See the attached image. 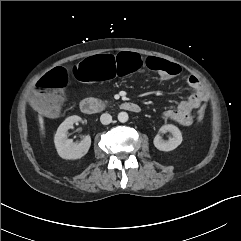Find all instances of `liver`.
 <instances>
[{
    "label": "liver",
    "instance_id": "1",
    "mask_svg": "<svg viewBox=\"0 0 241 241\" xmlns=\"http://www.w3.org/2000/svg\"><path fill=\"white\" fill-rule=\"evenodd\" d=\"M38 121H39V126H40L41 133H42V135H44L45 134V131H44V120H43L42 116L38 117Z\"/></svg>",
    "mask_w": 241,
    "mask_h": 241
}]
</instances>
